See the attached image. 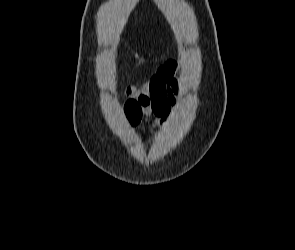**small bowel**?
<instances>
[{
  "mask_svg": "<svg viewBox=\"0 0 295 250\" xmlns=\"http://www.w3.org/2000/svg\"><path fill=\"white\" fill-rule=\"evenodd\" d=\"M176 72V62L167 61L142 87L128 86L125 90L126 95L137 101L146 115L153 114L156 118L155 124L162 127L173 116L181 93Z\"/></svg>",
  "mask_w": 295,
  "mask_h": 250,
  "instance_id": "1",
  "label": "small bowel"
}]
</instances>
